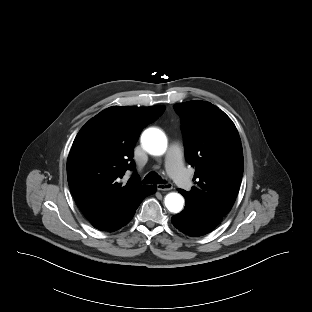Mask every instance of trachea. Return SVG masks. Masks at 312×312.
Wrapping results in <instances>:
<instances>
[{
    "label": "trachea",
    "mask_w": 312,
    "mask_h": 312,
    "mask_svg": "<svg viewBox=\"0 0 312 312\" xmlns=\"http://www.w3.org/2000/svg\"><path fill=\"white\" fill-rule=\"evenodd\" d=\"M144 184H165L166 181L162 180V178L155 172H150L148 173L144 180H143Z\"/></svg>",
    "instance_id": "trachea-1"
}]
</instances>
